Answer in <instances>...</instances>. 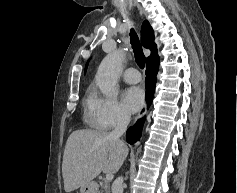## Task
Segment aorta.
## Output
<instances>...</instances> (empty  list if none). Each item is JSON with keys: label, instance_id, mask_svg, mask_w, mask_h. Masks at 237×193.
I'll return each mask as SVG.
<instances>
[{"label": "aorta", "instance_id": "1", "mask_svg": "<svg viewBox=\"0 0 237 193\" xmlns=\"http://www.w3.org/2000/svg\"><path fill=\"white\" fill-rule=\"evenodd\" d=\"M123 59L124 52L119 49L102 60L96 74V83L104 94L109 95L114 91Z\"/></svg>", "mask_w": 237, "mask_h": 193}]
</instances>
